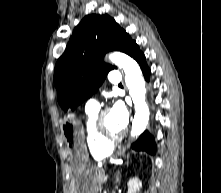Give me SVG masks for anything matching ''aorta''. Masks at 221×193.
<instances>
[{
  "mask_svg": "<svg viewBox=\"0 0 221 193\" xmlns=\"http://www.w3.org/2000/svg\"><path fill=\"white\" fill-rule=\"evenodd\" d=\"M109 60L122 68L125 73V84L133 100L135 115L132 122L131 135L139 136L146 129L149 121V108L145 101V80L138 63L128 55L121 52H113Z\"/></svg>",
  "mask_w": 221,
  "mask_h": 193,
  "instance_id": "762f6f07",
  "label": "aorta"
}]
</instances>
